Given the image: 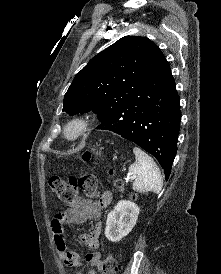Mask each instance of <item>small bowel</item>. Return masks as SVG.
<instances>
[{"mask_svg": "<svg viewBox=\"0 0 221 274\" xmlns=\"http://www.w3.org/2000/svg\"><path fill=\"white\" fill-rule=\"evenodd\" d=\"M112 198V193L109 190L104 191L100 199L96 201L78 198L58 212L51 222L57 253L67 267L77 269L75 274H84V264L77 252L68 250L64 237V225L82 224L88 220L99 218L102 209L111 204ZM102 228V223L97 222L92 231L79 236L80 241L92 251L86 255L87 274H98L102 268L101 254L97 251Z\"/></svg>", "mask_w": 221, "mask_h": 274, "instance_id": "c3829d8e", "label": "small bowel"}]
</instances>
